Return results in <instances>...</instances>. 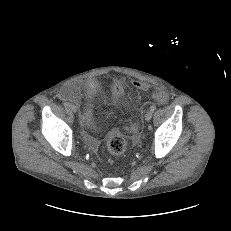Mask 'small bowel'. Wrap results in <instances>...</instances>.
<instances>
[{"label": "small bowel", "instance_id": "small-bowel-1", "mask_svg": "<svg viewBox=\"0 0 231 231\" xmlns=\"http://www.w3.org/2000/svg\"><path fill=\"white\" fill-rule=\"evenodd\" d=\"M98 89L99 82L96 79L90 78L84 82L72 83L64 90L66 98L75 101L82 107L80 119L84 129V138L94 151L98 149L99 141L89 133L96 128L90 100ZM121 96H116V100H119Z\"/></svg>", "mask_w": 231, "mask_h": 231}]
</instances>
